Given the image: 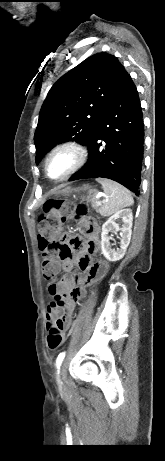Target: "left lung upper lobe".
<instances>
[{"instance_id":"left-lung-upper-lobe-1","label":"left lung upper lobe","mask_w":165,"mask_h":461,"mask_svg":"<svg viewBox=\"0 0 165 461\" xmlns=\"http://www.w3.org/2000/svg\"><path fill=\"white\" fill-rule=\"evenodd\" d=\"M127 71L106 53L93 55L63 75L45 99L35 131L36 164L57 143L87 144Z\"/></svg>"}]
</instances>
